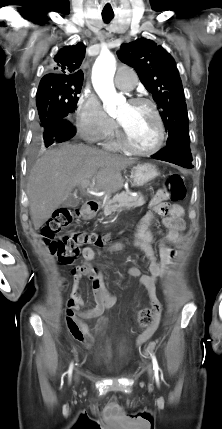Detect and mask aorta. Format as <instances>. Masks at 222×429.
Returning <instances> with one entry per match:
<instances>
[{"instance_id": "1", "label": "aorta", "mask_w": 222, "mask_h": 429, "mask_svg": "<svg viewBox=\"0 0 222 429\" xmlns=\"http://www.w3.org/2000/svg\"><path fill=\"white\" fill-rule=\"evenodd\" d=\"M116 70V60L112 53L101 52L96 59L92 72L94 89L103 102L107 113L112 114L117 106L124 103L122 95L117 94L113 78Z\"/></svg>"}]
</instances>
